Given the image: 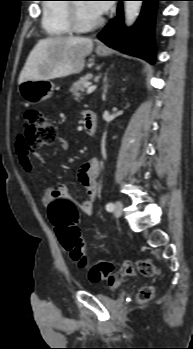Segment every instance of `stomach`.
Segmentation results:
<instances>
[{"instance_id":"0dacf381","label":"stomach","mask_w":193,"mask_h":349,"mask_svg":"<svg viewBox=\"0 0 193 349\" xmlns=\"http://www.w3.org/2000/svg\"><path fill=\"white\" fill-rule=\"evenodd\" d=\"M96 53L104 57L109 55L110 50L97 48ZM18 90L25 102L34 104L50 98L54 85L49 80H26L19 84Z\"/></svg>"}]
</instances>
